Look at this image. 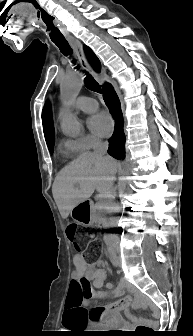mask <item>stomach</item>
I'll return each instance as SVG.
<instances>
[{
  "mask_svg": "<svg viewBox=\"0 0 193 336\" xmlns=\"http://www.w3.org/2000/svg\"><path fill=\"white\" fill-rule=\"evenodd\" d=\"M71 217L84 226H90L95 222V216L91 204L87 201L77 204L71 210Z\"/></svg>",
  "mask_w": 193,
  "mask_h": 336,
  "instance_id": "stomach-1",
  "label": "stomach"
}]
</instances>
